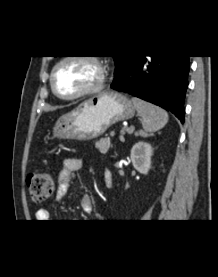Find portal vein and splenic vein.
I'll return each mask as SVG.
<instances>
[{
    "mask_svg": "<svg viewBox=\"0 0 218 277\" xmlns=\"http://www.w3.org/2000/svg\"><path fill=\"white\" fill-rule=\"evenodd\" d=\"M125 131H126L127 133H129V134H130V133H133L134 127L131 126L130 128H126ZM110 136H111V137H114V136H115V132H114V131H111V132H110Z\"/></svg>",
    "mask_w": 218,
    "mask_h": 277,
    "instance_id": "obj_1",
    "label": "portal vein and splenic vein"
}]
</instances>
